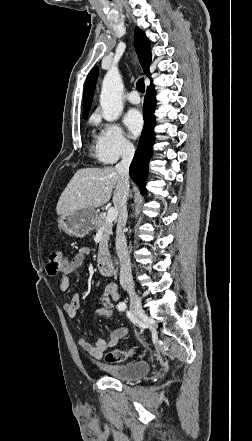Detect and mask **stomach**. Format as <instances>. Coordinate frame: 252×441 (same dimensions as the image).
<instances>
[{
  "instance_id": "0dacf381",
  "label": "stomach",
  "mask_w": 252,
  "mask_h": 441,
  "mask_svg": "<svg viewBox=\"0 0 252 441\" xmlns=\"http://www.w3.org/2000/svg\"><path fill=\"white\" fill-rule=\"evenodd\" d=\"M97 212L94 209L83 208L72 213L61 214L58 226L66 234L74 237H84L94 229Z\"/></svg>"
}]
</instances>
